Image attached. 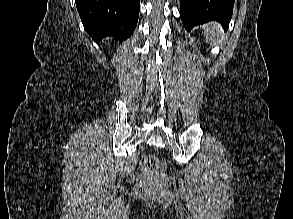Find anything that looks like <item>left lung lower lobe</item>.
Returning a JSON list of instances; mask_svg holds the SVG:
<instances>
[{"mask_svg": "<svg viewBox=\"0 0 293 219\" xmlns=\"http://www.w3.org/2000/svg\"><path fill=\"white\" fill-rule=\"evenodd\" d=\"M235 0H181L180 17L187 30L216 20L226 29L232 18Z\"/></svg>", "mask_w": 293, "mask_h": 219, "instance_id": "left-lung-lower-lobe-1", "label": "left lung lower lobe"}]
</instances>
